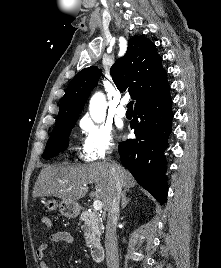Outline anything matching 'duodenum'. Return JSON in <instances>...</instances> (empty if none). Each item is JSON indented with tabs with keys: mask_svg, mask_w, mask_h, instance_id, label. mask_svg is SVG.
<instances>
[{
	"mask_svg": "<svg viewBox=\"0 0 221 268\" xmlns=\"http://www.w3.org/2000/svg\"><path fill=\"white\" fill-rule=\"evenodd\" d=\"M90 255L93 261L101 262L105 257V249L101 243L94 244L90 249Z\"/></svg>",
	"mask_w": 221,
	"mask_h": 268,
	"instance_id": "obj_1",
	"label": "duodenum"
}]
</instances>
